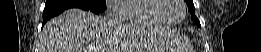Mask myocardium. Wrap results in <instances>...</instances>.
<instances>
[{"label":"myocardium","instance_id":"f54148a6","mask_svg":"<svg viewBox=\"0 0 261 52\" xmlns=\"http://www.w3.org/2000/svg\"><path fill=\"white\" fill-rule=\"evenodd\" d=\"M176 4L179 5L182 8L183 13H182V16H181L180 19L175 20V21H171V20H168V19L165 18V13H166V11L171 9V7L173 5L172 2H170L169 0H159V5H158L157 10H158L159 14L161 15L162 19L165 21L166 24L175 25V24L181 23L184 20V18L186 16V12H187L185 1L184 0H177Z\"/></svg>","mask_w":261,"mask_h":52}]
</instances>
